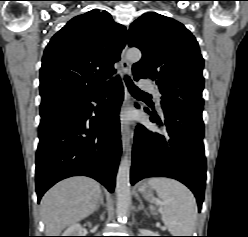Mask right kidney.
<instances>
[{
  "label": "right kidney",
  "instance_id": "obj_1",
  "mask_svg": "<svg viewBox=\"0 0 248 237\" xmlns=\"http://www.w3.org/2000/svg\"><path fill=\"white\" fill-rule=\"evenodd\" d=\"M91 226L90 223H88ZM62 236H82V227L80 224H73L65 230Z\"/></svg>",
  "mask_w": 248,
  "mask_h": 237
}]
</instances>
